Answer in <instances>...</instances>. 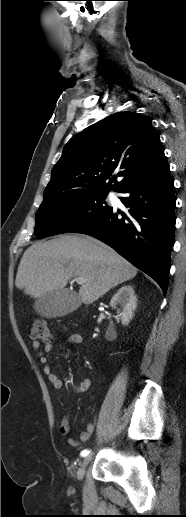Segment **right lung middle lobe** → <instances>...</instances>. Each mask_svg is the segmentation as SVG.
Instances as JSON below:
<instances>
[{
    "label": "right lung middle lobe",
    "instance_id": "dd1d6c3e",
    "mask_svg": "<svg viewBox=\"0 0 186 517\" xmlns=\"http://www.w3.org/2000/svg\"><path fill=\"white\" fill-rule=\"evenodd\" d=\"M108 192H75L42 202L36 212L34 234L44 238L73 232L111 209L105 202Z\"/></svg>",
    "mask_w": 186,
    "mask_h": 517
}]
</instances>
